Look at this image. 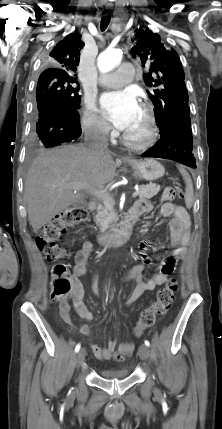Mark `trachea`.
<instances>
[{"instance_id":"3493384b","label":"trachea","mask_w":222,"mask_h":429,"mask_svg":"<svg viewBox=\"0 0 222 429\" xmlns=\"http://www.w3.org/2000/svg\"><path fill=\"white\" fill-rule=\"evenodd\" d=\"M109 23H110V17L109 16L102 17L101 24H100L101 31L106 30V28L108 27Z\"/></svg>"}]
</instances>
